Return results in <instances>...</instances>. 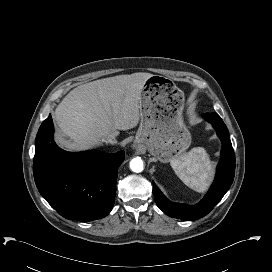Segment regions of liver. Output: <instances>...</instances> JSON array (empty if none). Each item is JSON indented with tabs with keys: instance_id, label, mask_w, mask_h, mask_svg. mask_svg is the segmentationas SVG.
<instances>
[{
	"instance_id": "liver-1",
	"label": "liver",
	"mask_w": 272,
	"mask_h": 272,
	"mask_svg": "<svg viewBox=\"0 0 272 272\" xmlns=\"http://www.w3.org/2000/svg\"><path fill=\"white\" fill-rule=\"evenodd\" d=\"M150 73H133L99 79L70 91L55 110L61 129L55 139L68 150L80 151L100 145L118 130L137 126L139 102Z\"/></svg>"
}]
</instances>
